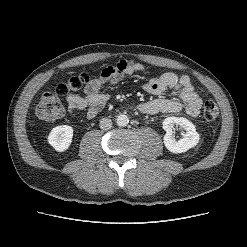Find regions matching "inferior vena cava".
Masks as SVG:
<instances>
[{
    "mask_svg": "<svg viewBox=\"0 0 247 247\" xmlns=\"http://www.w3.org/2000/svg\"><path fill=\"white\" fill-rule=\"evenodd\" d=\"M99 124L102 130H109L112 127V121L108 118L101 119Z\"/></svg>",
    "mask_w": 247,
    "mask_h": 247,
    "instance_id": "obj_1",
    "label": "inferior vena cava"
}]
</instances>
